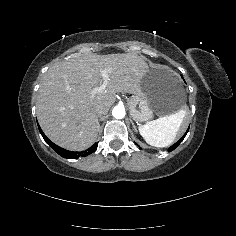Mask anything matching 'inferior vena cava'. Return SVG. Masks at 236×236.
<instances>
[{"label": "inferior vena cava", "instance_id": "obj_1", "mask_svg": "<svg viewBox=\"0 0 236 236\" xmlns=\"http://www.w3.org/2000/svg\"><path fill=\"white\" fill-rule=\"evenodd\" d=\"M104 113H103V111L102 110H100V109H97L96 110V116L97 117H100V116H102Z\"/></svg>", "mask_w": 236, "mask_h": 236}]
</instances>
